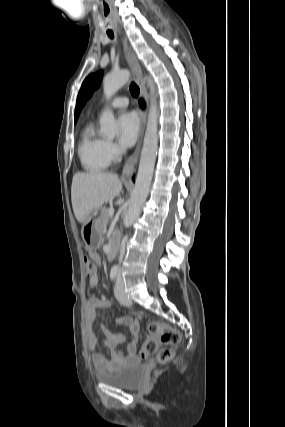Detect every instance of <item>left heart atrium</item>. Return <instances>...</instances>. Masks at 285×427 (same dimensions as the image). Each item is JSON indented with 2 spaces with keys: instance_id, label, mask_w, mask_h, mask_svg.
Listing matches in <instances>:
<instances>
[{
  "instance_id": "39dd6f15",
  "label": "left heart atrium",
  "mask_w": 285,
  "mask_h": 427,
  "mask_svg": "<svg viewBox=\"0 0 285 427\" xmlns=\"http://www.w3.org/2000/svg\"><path fill=\"white\" fill-rule=\"evenodd\" d=\"M119 142L123 147H131L139 134L140 123L133 112L123 113L118 119Z\"/></svg>"
}]
</instances>
